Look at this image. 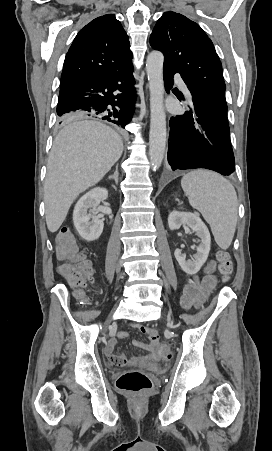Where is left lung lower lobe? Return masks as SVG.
I'll list each match as a JSON object with an SVG mask.
<instances>
[{
	"instance_id": "1",
	"label": "left lung lower lobe",
	"mask_w": 272,
	"mask_h": 451,
	"mask_svg": "<svg viewBox=\"0 0 272 451\" xmlns=\"http://www.w3.org/2000/svg\"><path fill=\"white\" fill-rule=\"evenodd\" d=\"M175 70L163 65L166 91L173 86ZM192 94L194 110L170 119L168 162L172 170L206 168L222 175L235 171L227 113Z\"/></svg>"
}]
</instances>
